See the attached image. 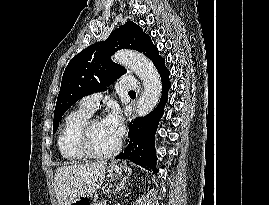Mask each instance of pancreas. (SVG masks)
Listing matches in <instances>:
<instances>
[{
	"mask_svg": "<svg viewBox=\"0 0 269 205\" xmlns=\"http://www.w3.org/2000/svg\"><path fill=\"white\" fill-rule=\"evenodd\" d=\"M96 205H107V204H106V201H102V202L96 203Z\"/></svg>",
	"mask_w": 269,
	"mask_h": 205,
	"instance_id": "obj_1",
	"label": "pancreas"
}]
</instances>
